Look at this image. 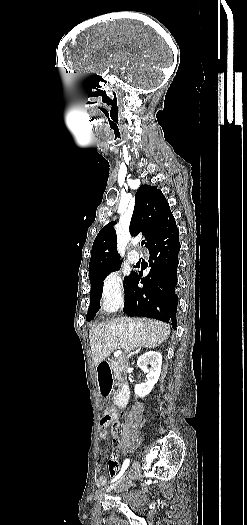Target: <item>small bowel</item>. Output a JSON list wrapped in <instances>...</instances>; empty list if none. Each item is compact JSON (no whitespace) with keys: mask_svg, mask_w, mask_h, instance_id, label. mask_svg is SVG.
<instances>
[{"mask_svg":"<svg viewBox=\"0 0 247 525\" xmlns=\"http://www.w3.org/2000/svg\"><path fill=\"white\" fill-rule=\"evenodd\" d=\"M117 416H118V414L116 413V415H115L114 417H117ZM99 437H100V439H101L102 441H105V440H109V439L111 438V434H110L108 431L104 430L103 433H100V434H99ZM117 456H118V453H117V450H115V451L113 452V454H112V456H111V459H110V462H109V465H112V470H111V472L113 473V475H111L110 472H109V474H110V476L112 477V479H115V476H116V474H117V472H118V469H119V465H118V463H117ZM99 458H100V459L103 458V453H102V451H100V453H99ZM101 469H102L101 464H98V465L96 466V471H97V472H100ZM106 483H107V476H106V475H101V476H99V477L96 479V485H97L98 487H103V486L106 485Z\"/></svg>","mask_w":247,"mask_h":525,"instance_id":"small-bowel-1","label":"small bowel"}]
</instances>
